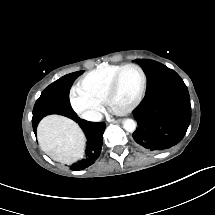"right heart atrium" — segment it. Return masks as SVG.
I'll use <instances>...</instances> for the list:
<instances>
[{
    "mask_svg": "<svg viewBox=\"0 0 215 215\" xmlns=\"http://www.w3.org/2000/svg\"><path fill=\"white\" fill-rule=\"evenodd\" d=\"M70 108L85 120H97L100 117V105L90 96L73 91L71 94Z\"/></svg>",
    "mask_w": 215,
    "mask_h": 215,
    "instance_id": "right-heart-atrium-1",
    "label": "right heart atrium"
}]
</instances>
